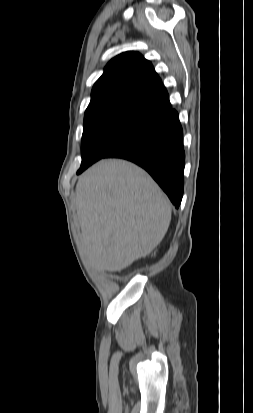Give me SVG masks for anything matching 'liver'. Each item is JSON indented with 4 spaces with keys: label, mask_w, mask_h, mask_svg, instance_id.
<instances>
[{
    "label": "liver",
    "mask_w": 253,
    "mask_h": 413,
    "mask_svg": "<svg viewBox=\"0 0 253 413\" xmlns=\"http://www.w3.org/2000/svg\"><path fill=\"white\" fill-rule=\"evenodd\" d=\"M75 205L83 250L101 271L120 272L150 254L171 221L170 202L155 181L121 159L101 160L82 174Z\"/></svg>",
    "instance_id": "obj_1"
}]
</instances>
